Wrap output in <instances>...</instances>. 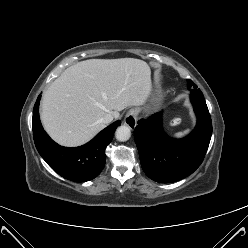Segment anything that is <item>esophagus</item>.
Returning a JSON list of instances; mask_svg holds the SVG:
<instances>
[{"instance_id": "esophagus-1", "label": "esophagus", "mask_w": 248, "mask_h": 248, "mask_svg": "<svg viewBox=\"0 0 248 248\" xmlns=\"http://www.w3.org/2000/svg\"><path fill=\"white\" fill-rule=\"evenodd\" d=\"M137 115L138 112L135 109H130L125 118L124 123L127 125L130 129H134L137 125Z\"/></svg>"}]
</instances>
